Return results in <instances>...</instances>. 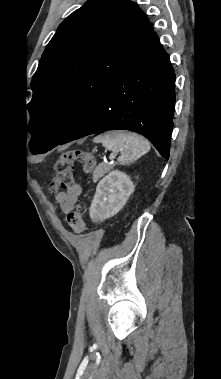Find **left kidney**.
Segmentation results:
<instances>
[{
  "label": "left kidney",
  "mask_w": 221,
  "mask_h": 379,
  "mask_svg": "<svg viewBox=\"0 0 221 379\" xmlns=\"http://www.w3.org/2000/svg\"><path fill=\"white\" fill-rule=\"evenodd\" d=\"M134 192V185L125 173L115 170L105 176L97 185L89 209L93 222L99 223L116 215Z\"/></svg>",
  "instance_id": "left-kidney-1"
}]
</instances>
